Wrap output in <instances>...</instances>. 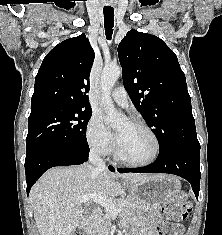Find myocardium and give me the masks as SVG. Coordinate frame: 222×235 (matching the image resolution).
Listing matches in <instances>:
<instances>
[{"label": "myocardium", "mask_w": 222, "mask_h": 235, "mask_svg": "<svg viewBox=\"0 0 222 235\" xmlns=\"http://www.w3.org/2000/svg\"><path fill=\"white\" fill-rule=\"evenodd\" d=\"M128 122L130 124H132L133 126L144 129L145 131H147L153 137V139L155 141V146H156L155 153L147 161H143V162L131 161V160H128L127 158H125L123 156V154L120 151L118 140H116V143H115V158L119 162H121L125 165H128V166H132V167H145V166H148V165L154 163L159 158V156L161 154V142H160V139H159L158 135L156 134V132L148 124H146L145 122H143L139 119L132 118V119H129Z\"/></svg>", "instance_id": "myocardium-1"}]
</instances>
